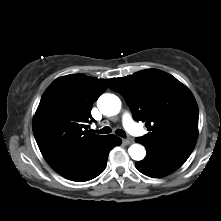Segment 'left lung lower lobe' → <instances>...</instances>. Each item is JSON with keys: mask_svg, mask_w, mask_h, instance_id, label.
Returning a JSON list of instances; mask_svg holds the SVG:
<instances>
[{"mask_svg": "<svg viewBox=\"0 0 221 221\" xmlns=\"http://www.w3.org/2000/svg\"><path fill=\"white\" fill-rule=\"evenodd\" d=\"M136 142L145 146L147 155L136 163V168L152 178L164 177L181 167L193 151L196 142L174 141L161 144L145 142L139 138Z\"/></svg>", "mask_w": 221, "mask_h": 221, "instance_id": "0a47b994", "label": "left lung lower lobe"}]
</instances>
